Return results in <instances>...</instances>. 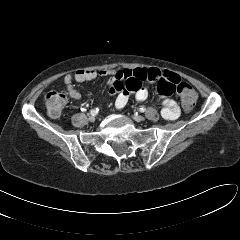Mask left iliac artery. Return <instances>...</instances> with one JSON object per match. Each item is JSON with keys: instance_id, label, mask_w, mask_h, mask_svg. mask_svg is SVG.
<instances>
[{"instance_id": "1", "label": "left iliac artery", "mask_w": 240, "mask_h": 240, "mask_svg": "<svg viewBox=\"0 0 240 240\" xmlns=\"http://www.w3.org/2000/svg\"><path fill=\"white\" fill-rule=\"evenodd\" d=\"M145 110L146 109L144 107H142V108L139 109V112H145Z\"/></svg>"}]
</instances>
